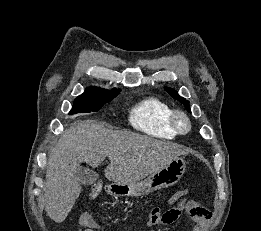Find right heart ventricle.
<instances>
[{
	"label": "right heart ventricle",
	"mask_w": 261,
	"mask_h": 231,
	"mask_svg": "<svg viewBox=\"0 0 261 231\" xmlns=\"http://www.w3.org/2000/svg\"><path fill=\"white\" fill-rule=\"evenodd\" d=\"M172 108L157 98H146L131 108L128 115L130 125L147 135L174 139L177 133L170 122Z\"/></svg>",
	"instance_id": "obj_1"
}]
</instances>
